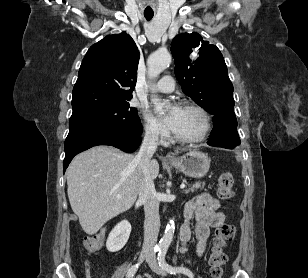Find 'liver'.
I'll use <instances>...</instances> for the list:
<instances>
[{
	"label": "liver",
	"instance_id": "obj_1",
	"mask_svg": "<svg viewBox=\"0 0 308 278\" xmlns=\"http://www.w3.org/2000/svg\"><path fill=\"white\" fill-rule=\"evenodd\" d=\"M149 172L152 179L158 176L157 160L150 161ZM66 177L71 208L89 235L130 209L137 199L140 170L135 155L112 146H95L78 154Z\"/></svg>",
	"mask_w": 308,
	"mask_h": 278
}]
</instances>
